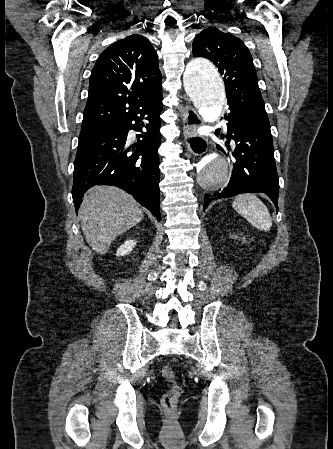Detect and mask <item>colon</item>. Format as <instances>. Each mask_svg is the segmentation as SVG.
Returning <instances> with one entry per match:
<instances>
[{
  "instance_id": "obj_1",
  "label": "colon",
  "mask_w": 333,
  "mask_h": 449,
  "mask_svg": "<svg viewBox=\"0 0 333 449\" xmlns=\"http://www.w3.org/2000/svg\"><path fill=\"white\" fill-rule=\"evenodd\" d=\"M161 374L164 379L173 383L171 388H169L162 397V403L164 407L171 410L176 406L178 402L181 394V389L180 386L175 383L176 376L172 367L164 366L161 370Z\"/></svg>"
}]
</instances>
